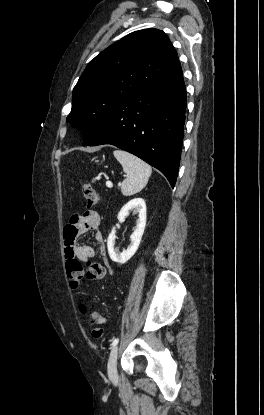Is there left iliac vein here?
I'll use <instances>...</instances> for the list:
<instances>
[{"mask_svg": "<svg viewBox=\"0 0 264 415\" xmlns=\"http://www.w3.org/2000/svg\"><path fill=\"white\" fill-rule=\"evenodd\" d=\"M117 355L118 347L114 346L109 357L108 361V376L110 379H116L118 376L117 373Z\"/></svg>", "mask_w": 264, "mask_h": 415, "instance_id": "left-iliac-vein-1", "label": "left iliac vein"}]
</instances>
